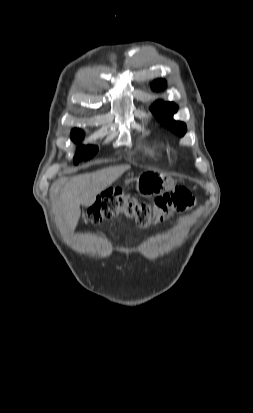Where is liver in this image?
<instances>
[{
	"label": "liver",
	"mask_w": 253,
	"mask_h": 413,
	"mask_svg": "<svg viewBox=\"0 0 253 413\" xmlns=\"http://www.w3.org/2000/svg\"><path fill=\"white\" fill-rule=\"evenodd\" d=\"M130 166H113L102 170L81 174L73 177L60 193L58 200L59 213L73 231L79 221L80 205L90 207L95 203L96 197L116 181Z\"/></svg>",
	"instance_id": "6515ba94"
}]
</instances>
